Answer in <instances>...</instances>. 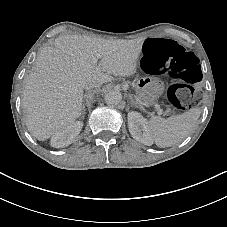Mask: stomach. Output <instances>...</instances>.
<instances>
[{
  "label": "stomach",
  "instance_id": "0dacf381",
  "mask_svg": "<svg viewBox=\"0 0 227 227\" xmlns=\"http://www.w3.org/2000/svg\"><path fill=\"white\" fill-rule=\"evenodd\" d=\"M153 76L140 77L136 81V94L138 98L147 106L155 104V98L157 97L153 90Z\"/></svg>",
  "mask_w": 227,
  "mask_h": 227
}]
</instances>
